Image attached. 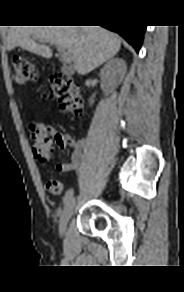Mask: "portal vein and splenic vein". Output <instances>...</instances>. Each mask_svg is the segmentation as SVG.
I'll return each instance as SVG.
<instances>
[{"mask_svg":"<svg viewBox=\"0 0 184 292\" xmlns=\"http://www.w3.org/2000/svg\"><path fill=\"white\" fill-rule=\"evenodd\" d=\"M58 52L65 63L71 62V55L64 48L58 46Z\"/></svg>","mask_w":184,"mask_h":292,"instance_id":"portal-vein-and-splenic-vein-1","label":"portal vein and splenic vein"}]
</instances>
